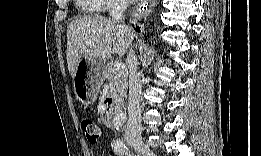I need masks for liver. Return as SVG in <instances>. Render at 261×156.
Returning a JSON list of instances; mask_svg holds the SVG:
<instances>
[{
    "mask_svg": "<svg viewBox=\"0 0 261 156\" xmlns=\"http://www.w3.org/2000/svg\"><path fill=\"white\" fill-rule=\"evenodd\" d=\"M130 27L102 16L75 19L67 29V64L75 77L82 58L110 59L116 53L123 56L133 41Z\"/></svg>",
    "mask_w": 261,
    "mask_h": 156,
    "instance_id": "liver-1",
    "label": "liver"
}]
</instances>
